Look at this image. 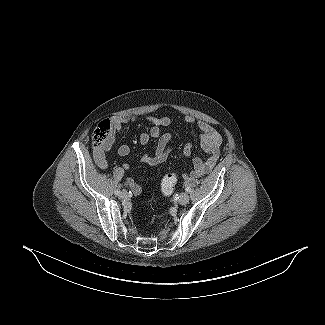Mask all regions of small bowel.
<instances>
[{
	"instance_id": "small-bowel-1",
	"label": "small bowel",
	"mask_w": 325,
	"mask_h": 325,
	"mask_svg": "<svg viewBox=\"0 0 325 325\" xmlns=\"http://www.w3.org/2000/svg\"><path fill=\"white\" fill-rule=\"evenodd\" d=\"M138 118L136 115L114 117L111 120V132L107 140L100 147L94 149L93 155L95 162L101 169L108 167L107 154L113 147L117 134H119L124 125L129 121H134ZM153 126L150 132L141 133L139 141L141 144H147L151 138L156 139L157 144L153 155H144L142 162L149 165H158L163 163L171 153V140L172 136L163 132V128L171 124L168 117H157L153 115L144 116ZM186 123L190 125L196 124V119L192 116L185 117ZM198 129L200 132L199 142L202 150L208 154V158L202 160L193 153V146L187 144L182 150L184 158H193V169L185 174V178H192L209 174L215 167L219 156L220 146L222 144L221 136L208 124L199 123ZM120 156H127L130 153V147L127 144H122L117 150ZM124 169H128L129 165L124 164ZM126 183L131 191L138 195L141 192L140 186L132 178H127Z\"/></svg>"
}]
</instances>
